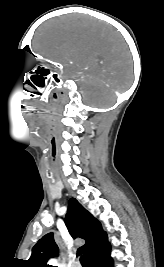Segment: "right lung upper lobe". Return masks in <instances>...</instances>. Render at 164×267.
<instances>
[{
  "label": "right lung upper lobe",
  "mask_w": 164,
  "mask_h": 267,
  "mask_svg": "<svg viewBox=\"0 0 164 267\" xmlns=\"http://www.w3.org/2000/svg\"><path fill=\"white\" fill-rule=\"evenodd\" d=\"M65 223L73 238L80 237L86 241L85 245L78 249V252H84L88 261L111 248L107 234L102 230L100 222L75 198L69 200ZM57 255L58 247L54 242L53 233H47L33 247L28 265L30 267H48L46 264L48 259Z\"/></svg>",
  "instance_id": "cb5924a9"
}]
</instances>
